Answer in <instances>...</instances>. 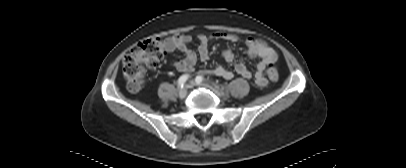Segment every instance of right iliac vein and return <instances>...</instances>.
Instances as JSON below:
<instances>
[{
    "instance_id": "right-iliac-vein-1",
    "label": "right iliac vein",
    "mask_w": 406,
    "mask_h": 168,
    "mask_svg": "<svg viewBox=\"0 0 406 168\" xmlns=\"http://www.w3.org/2000/svg\"><path fill=\"white\" fill-rule=\"evenodd\" d=\"M186 95H187V87H184V88L180 89V91H179V97H180V98H185Z\"/></svg>"
}]
</instances>
